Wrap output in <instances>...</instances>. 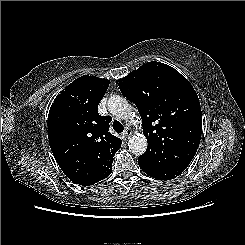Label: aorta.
<instances>
[{"mask_svg":"<svg viewBox=\"0 0 245 245\" xmlns=\"http://www.w3.org/2000/svg\"><path fill=\"white\" fill-rule=\"evenodd\" d=\"M107 106L109 112L118 118L132 122L135 117L127 99L120 95H112ZM128 147L132 154L142 155L147 149V139L143 134L133 135L128 141Z\"/></svg>","mask_w":245,"mask_h":245,"instance_id":"aorta-1","label":"aorta"}]
</instances>
